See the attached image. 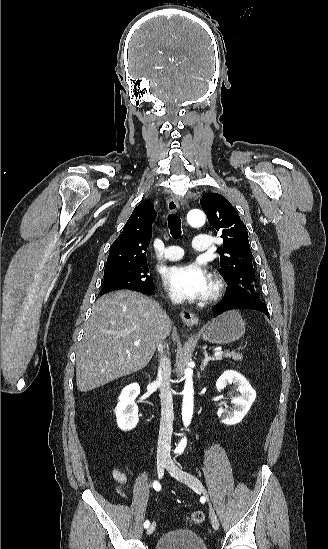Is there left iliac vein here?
<instances>
[{
  "label": "left iliac vein",
  "instance_id": "1",
  "mask_svg": "<svg viewBox=\"0 0 328 549\" xmlns=\"http://www.w3.org/2000/svg\"><path fill=\"white\" fill-rule=\"evenodd\" d=\"M167 470L170 472V474L173 477H175L176 479L184 482L185 484H187L189 487H191L196 492L203 493L208 499V495L206 493V490H205L204 486L202 485L200 480L197 479L195 476H193L191 474H188V473L184 472L183 470L179 469L175 464L172 463L171 460H168V462H167ZM210 520H211L212 527L215 530H218L219 529V521H218V518L216 516L215 510L212 506H210Z\"/></svg>",
  "mask_w": 328,
  "mask_h": 549
}]
</instances>
